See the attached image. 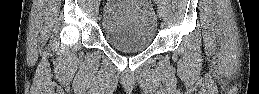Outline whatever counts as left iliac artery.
<instances>
[{"label": "left iliac artery", "mask_w": 259, "mask_h": 94, "mask_svg": "<svg viewBox=\"0 0 259 94\" xmlns=\"http://www.w3.org/2000/svg\"><path fill=\"white\" fill-rule=\"evenodd\" d=\"M156 3H157V4H159V3H160V1H159V0H156Z\"/></svg>", "instance_id": "1"}]
</instances>
